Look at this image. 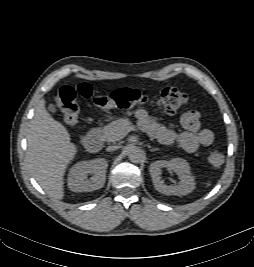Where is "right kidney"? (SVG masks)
<instances>
[{
  "label": "right kidney",
  "instance_id": "1",
  "mask_svg": "<svg viewBox=\"0 0 254 267\" xmlns=\"http://www.w3.org/2000/svg\"><path fill=\"white\" fill-rule=\"evenodd\" d=\"M108 163L104 158L76 163L69 171L68 186L73 192H91L104 186ZM88 175H91L88 179Z\"/></svg>",
  "mask_w": 254,
  "mask_h": 267
}]
</instances>
